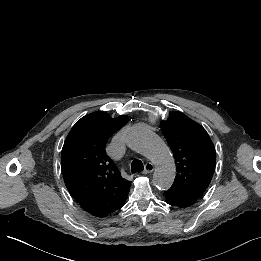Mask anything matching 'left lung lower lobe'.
I'll list each match as a JSON object with an SVG mask.
<instances>
[{"mask_svg": "<svg viewBox=\"0 0 261 261\" xmlns=\"http://www.w3.org/2000/svg\"><path fill=\"white\" fill-rule=\"evenodd\" d=\"M164 196L166 203L178 207H188L197 200V198L185 195L171 188L164 192Z\"/></svg>", "mask_w": 261, "mask_h": 261, "instance_id": "left-lung-lower-lobe-1", "label": "left lung lower lobe"}]
</instances>
